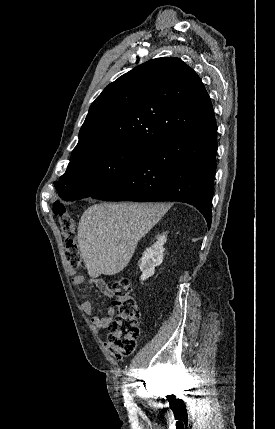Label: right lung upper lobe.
<instances>
[{"instance_id":"right-lung-upper-lobe-1","label":"right lung upper lobe","mask_w":275,"mask_h":429,"mask_svg":"<svg viewBox=\"0 0 275 429\" xmlns=\"http://www.w3.org/2000/svg\"><path fill=\"white\" fill-rule=\"evenodd\" d=\"M214 122L210 97L195 71L179 58L152 59L110 83L92 103L70 162L117 144L151 150Z\"/></svg>"}]
</instances>
